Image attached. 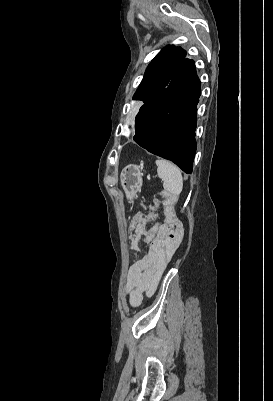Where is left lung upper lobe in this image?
I'll use <instances>...</instances> for the list:
<instances>
[{"label": "left lung upper lobe", "instance_id": "5c2ea615", "mask_svg": "<svg viewBox=\"0 0 273 401\" xmlns=\"http://www.w3.org/2000/svg\"><path fill=\"white\" fill-rule=\"evenodd\" d=\"M185 57L186 51L182 48L173 45L163 48L148 65L133 100L146 103L159 95L168 86Z\"/></svg>", "mask_w": 273, "mask_h": 401}]
</instances>
